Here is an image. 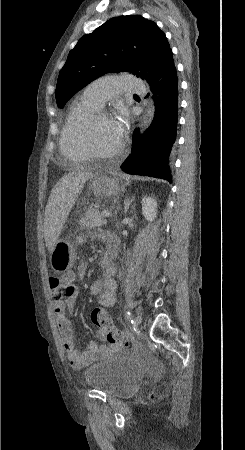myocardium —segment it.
I'll list each match as a JSON object with an SVG mask.
<instances>
[{"instance_id":"myocardium-1","label":"myocardium","mask_w":245,"mask_h":450,"mask_svg":"<svg viewBox=\"0 0 245 450\" xmlns=\"http://www.w3.org/2000/svg\"><path fill=\"white\" fill-rule=\"evenodd\" d=\"M97 117H104V118L109 119V116L105 112H98L96 114H92L88 118L86 126H85V131H84V143H85V147L88 151L89 158H91V159H106V158H113V157L121 156L124 151V144L122 142H121L120 146L118 147V149H116L113 152H109V153L101 152L96 148L95 143H94V138H93V127H94L95 119Z\"/></svg>"}]
</instances>
